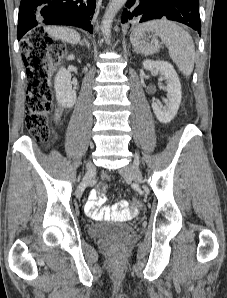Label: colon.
Wrapping results in <instances>:
<instances>
[{
	"label": "colon",
	"instance_id": "obj_1",
	"mask_svg": "<svg viewBox=\"0 0 227 298\" xmlns=\"http://www.w3.org/2000/svg\"><path fill=\"white\" fill-rule=\"evenodd\" d=\"M38 35L32 38L33 46L25 47L24 57L27 68V100L25 124L29 132L38 142H46L50 137L49 115L52 109L53 90L49 83L48 73L44 61L53 46L52 40L44 33L37 31ZM107 188L105 183L97 186L99 191ZM136 207H143V202H135ZM124 246L112 247L114 254H121Z\"/></svg>",
	"mask_w": 227,
	"mask_h": 298
}]
</instances>
